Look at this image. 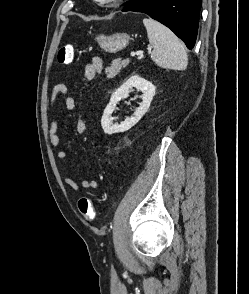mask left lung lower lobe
<instances>
[{"mask_svg":"<svg viewBox=\"0 0 249 294\" xmlns=\"http://www.w3.org/2000/svg\"><path fill=\"white\" fill-rule=\"evenodd\" d=\"M202 0H131L122 11L143 12L170 28L188 49L195 45Z\"/></svg>","mask_w":249,"mask_h":294,"instance_id":"obj_1","label":"left lung lower lobe"}]
</instances>
